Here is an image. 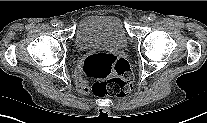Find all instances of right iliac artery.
Returning <instances> with one entry per match:
<instances>
[{
	"label": "right iliac artery",
	"instance_id": "1",
	"mask_svg": "<svg viewBox=\"0 0 207 123\" xmlns=\"http://www.w3.org/2000/svg\"><path fill=\"white\" fill-rule=\"evenodd\" d=\"M52 26H57L58 25V21L56 19L51 21Z\"/></svg>",
	"mask_w": 207,
	"mask_h": 123
}]
</instances>
